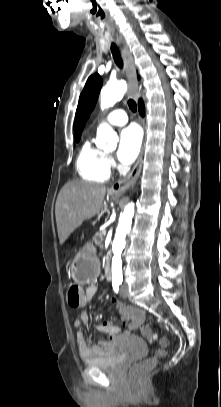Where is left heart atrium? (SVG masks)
Wrapping results in <instances>:
<instances>
[{
  "mask_svg": "<svg viewBox=\"0 0 221 407\" xmlns=\"http://www.w3.org/2000/svg\"><path fill=\"white\" fill-rule=\"evenodd\" d=\"M141 140V132L136 126H129L122 130L117 151L119 161L123 164L132 163L139 154Z\"/></svg>",
  "mask_w": 221,
  "mask_h": 407,
  "instance_id": "1",
  "label": "left heart atrium"
}]
</instances>
